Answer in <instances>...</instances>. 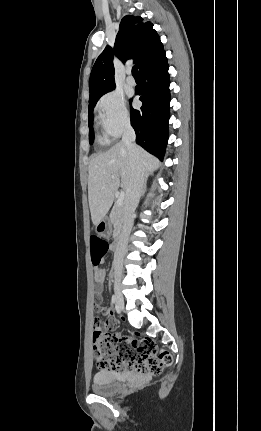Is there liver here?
<instances>
[{
  "mask_svg": "<svg viewBox=\"0 0 261 431\" xmlns=\"http://www.w3.org/2000/svg\"><path fill=\"white\" fill-rule=\"evenodd\" d=\"M137 149L144 172L156 170L159 161L141 147L137 146ZM131 178L130 155L122 142L91 159L88 176V200L94 225L105 218L113 204L117 189L122 187L127 191Z\"/></svg>",
  "mask_w": 261,
  "mask_h": 431,
  "instance_id": "liver-1",
  "label": "liver"
}]
</instances>
